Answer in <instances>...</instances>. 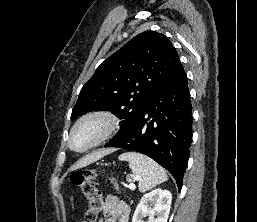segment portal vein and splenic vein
I'll use <instances>...</instances> for the list:
<instances>
[{
    "instance_id": "1",
    "label": "portal vein and splenic vein",
    "mask_w": 257,
    "mask_h": 222,
    "mask_svg": "<svg viewBox=\"0 0 257 222\" xmlns=\"http://www.w3.org/2000/svg\"><path fill=\"white\" fill-rule=\"evenodd\" d=\"M128 187H129L130 189H135V188H136V186H135L134 183H130Z\"/></svg>"
}]
</instances>
